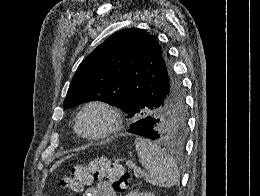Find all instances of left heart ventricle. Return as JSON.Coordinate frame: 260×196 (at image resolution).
Returning <instances> with one entry per match:
<instances>
[{
    "instance_id": "b2bd125f",
    "label": "left heart ventricle",
    "mask_w": 260,
    "mask_h": 196,
    "mask_svg": "<svg viewBox=\"0 0 260 196\" xmlns=\"http://www.w3.org/2000/svg\"><path fill=\"white\" fill-rule=\"evenodd\" d=\"M112 122L111 114L104 108L94 106L84 112L80 119V129L86 134H97Z\"/></svg>"
}]
</instances>
